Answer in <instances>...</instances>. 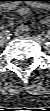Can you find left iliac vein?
I'll return each instance as SVG.
<instances>
[{
	"mask_svg": "<svg viewBox=\"0 0 50 111\" xmlns=\"http://www.w3.org/2000/svg\"><path fill=\"white\" fill-rule=\"evenodd\" d=\"M35 38H36L37 42H39V43L44 42V39L41 36H36Z\"/></svg>",
	"mask_w": 50,
	"mask_h": 111,
	"instance_id": "obj_1",
	"label": "left iliac vein"
}]
</instances>
